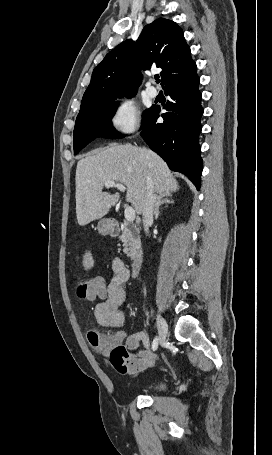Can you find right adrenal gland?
<instances>
[{"label": "right adrenal gland", "mask_w": 272, "mask_h": 455, "mask_svg": "<svg viewBox=\"0 0 272 455\" xmlns=\"http://www.w3.org/2000/svg\"><path fill=\"white\" fill-rule=\"evenodd\" d=\"M170 203L173 204L174 200L172 199V194L169 192L161 193L157 197V202H156V206H155V210H154V216H155L156 220L158 219V216H159V207L163 204H170Z\"/></svg>", "instance_id": "right-adrenal-gland-1"}]
</instances>
